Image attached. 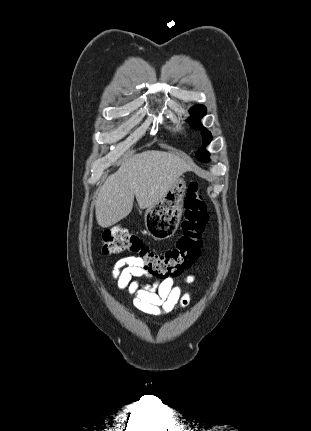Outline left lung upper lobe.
Masks as SVG:
<instances>
[{"label": "left lung upper lobe", "mask_w": 311, "mask_h": 431, "mask_svg": "<svg viewBox=\"0 0 311 431\" xmlns=\"http://www.w3.org/2000/svg\"><path fill=\"white\" fill-rule=\"evenodd\" d=\"M190 114L192 115L187 121L190 122V125L195 130H201V135L203 136V144L204 146L209 144L212 140L211 133L203 127L200 123L199 119L202 118L206 114V108L203 105H195L190 108ZM196 157L201 161H208L209 153L202 147L196 154Z\"/></svg>", "instance_id": "obj_1"}]
</instances>
